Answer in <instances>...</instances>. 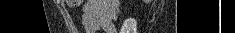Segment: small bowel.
I'll return each instance as SVG.
<instances>
[{
    "label": "small bowel",
    "mask_w": 235,
    "mask_h": 33,
    "mask_svg": "<svg viewBox=\"0 0 235 33\" xmlns=\"http://www.w3.org/2000/svg\"><path fill=\"white\" fill-rule=\"evenodd\" d=\"M116 1L89 0L83 6L82 24L86 33H117Z\"/></svg>",
    "instance_id": "small-bowel-1"
}]
</instances>
